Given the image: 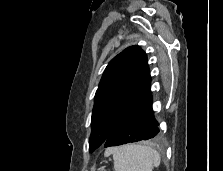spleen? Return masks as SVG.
<instances>
[{"label":"spleen","instance_id":"1","mask_svg":"<svg viewBox=\"0 0 223 171\" xmlns=\"http://www.w3.org/2000/svg\"><path fill=\"white\" fill-rule=\"evenodd\" d=\"M110 151L115 171H152L161 162L158 151L146 145L129 144Z\"/></svg>","mask_w":223,"mask_h":171}]
</instances>
